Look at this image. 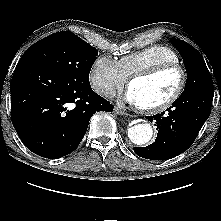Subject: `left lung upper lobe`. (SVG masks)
Masks as SVG:
<instances>
[{
  "label": "left lung upper lobe",
  "instance_id": "left-lung-upper-lobe-1",
  "mask_svg": "<svg viewBox=\"0 0 221 221\" xmlns=\"http://www.w3.org/2000/svg\"><path fill=\"white\" fill-rule=\"evenodd\" d=\"M171 42L180 52L187 70V82L182 95L198 88L212 85L211 75L201 54L183 40L172 38Z\"/></svg>",
  "mask_w": 221,
  "mask_h": 221
}]
</instances>
